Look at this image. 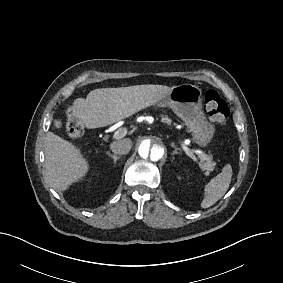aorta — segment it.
Listing matches in <instances>:
<instances>
[{
    "mask_svg": "<svg viewBox=\"0 0 283 283\" xmlns=\"http://www.w3.org/2000/svg\"><path fill=\"white\" fill-rule=\"evenodd\" d=\"M138 154L147 165L161 163L166 156V141L157 134H148L138 141Z\"/></svg>",
    "mask_w": 283,
    "mask_h": 283,
    "instance_id": "1",
    "label": "aorta"
}]
</instances>
